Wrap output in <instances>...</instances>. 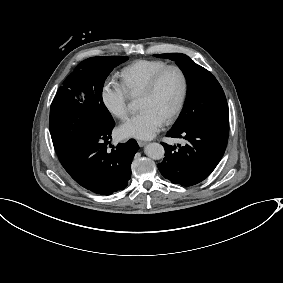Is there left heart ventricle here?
<instances>
[{
	"mask_svg": "<svg viewBox=\"0 0 283 283\" xmlns=\"http://www.w3.org/2000/svg\"><path fill=\"white\" fill-rule=\"evenodd\" d=\"M181 90V79L177 71H168L150 95H140L139 109L150 108L166 117L175 106Z\"/></svg>",
	"mask_w": 283,
	"mask_h": 283,
	"instance_id": "b2bd125f",
	"label": "left heart ventricle"
}]
</instances>
